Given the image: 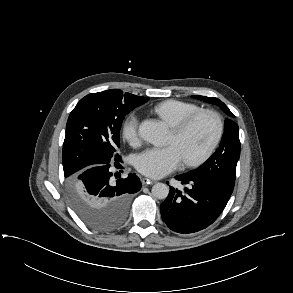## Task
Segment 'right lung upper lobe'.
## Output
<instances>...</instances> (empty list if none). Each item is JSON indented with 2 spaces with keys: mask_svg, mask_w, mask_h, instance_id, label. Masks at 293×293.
Masks as SVG:
<instances>
[{
  "mask_svg": "<svg viewBox=\"0 0 293 293\" xmlns=\"http://www.w3.org/2000/svg\"><path fill=\"white\" fill-rule=\"evenodd\" d=\"M143 100H145L146 102L149 100V98L147 97H141Z\"/></svg>",
  "mask_w": 293,
  "mask_h": 293,
  "instance_id": "cb5924a9",
  "label": "right lung upper lobe"
}]
</instances>
